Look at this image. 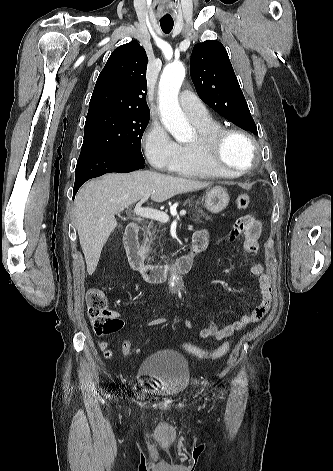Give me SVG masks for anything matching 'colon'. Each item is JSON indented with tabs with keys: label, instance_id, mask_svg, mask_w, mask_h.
Masks as SVG:
<instances>
[{
	"label": "colon",
	"instance_id": "obj_1",
	"mask_svg": "<svg viewBox=\"0 0 333 471\" xmlns=\"http://www.w3.org/2000/svg\"><path fill=\"white\" fill-rule=\"evenodd\" d=\"M249 203L250 197L246 193L238 196L236 200V206L240 210L246 209ZM86 304L88 315L97 335L109 334L121 328L122 321L118 317L114 316V314L108 309L107 299L103 291L99 289H91L87 293ZM182 347L188 353L198 358L214 360L224 356L228 352L230 343L224 342L215 350H205L189 342L183 343ZM122 352L125 356H131L133 354L134 349L129 340L122 343Z\"/></svg>",
	"mask_w": 333,
	"mask_h": 471
}]
</instances>
